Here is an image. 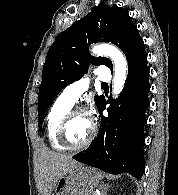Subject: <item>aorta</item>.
Here are the masks:
<instances>
[{
    "label": "aorta",
    "instance_id": "762f6f07",
    "mask_svg": "<svg viewBox=\"0 0 178 195\" xmlns=\"http://www.w3.org/2000/svg\"><path fill=\"white\" fill-rule=\"evenodd\" d=\"M92 53L95 55L108 56L114 64L113 95L118 96L125 84L127 77L128 64L123 53L113 45L98 44L92 47Z\"/></svg>",
    "mask_w": 178,
    "mask_h": 195
}]
</instances>
